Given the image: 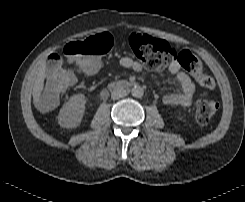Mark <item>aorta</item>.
I'll return each mask as SVG.
<instances>
[{
    "label": "aorta",
    "instance_id": "1",
    "mask_svg": "<svg viewBox=\"0 0 245 202\" xmlns=\"http://www.w3.org/2000/svg\"><path fill=\"white\" fill-rule=\"evenodd\" d=\"M131 94L133 97L141 98L144 94V89L141 86H134L131 89Z\"/></svg>",
    "mask_w": 245,
    "mask_h": 202
}]
</instances>
